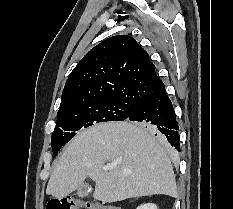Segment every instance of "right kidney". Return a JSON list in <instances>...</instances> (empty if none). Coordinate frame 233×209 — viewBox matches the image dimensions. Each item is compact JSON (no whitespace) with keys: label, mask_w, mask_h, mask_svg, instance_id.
<instances>
[{"label":"right kidney","mask_w":233,"mask_h":209,"mask_svg":"<svg viewBox=\"0 0 233 209\" xmlns=\"http://www.w3.org/2000/svg\"><path fill=\"white\" fill-rule=\"evenodd\" d=\"M137 209H158V208L156 204L147 203V204L140 205Z\"/></svg>","instance_id":"right-kidney-1"}]
</instances>
